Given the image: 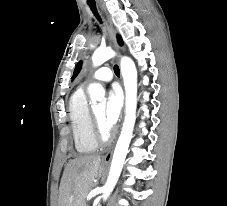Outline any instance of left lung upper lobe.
Masks as SVG:
<instances>
[{
    "instance_id": "1",
    "label": "left lung upper lobe",
    "mask_w": 227,
    "mask_h": 206,
    "mask_svg": "<svg viewBox=\"0 0 227 206\" xmlns=\"http://www.w3.org/2000/svg\"><path fill=\"white\" fill-rule=\"evenodd\" d=\"M117 39H118L119 44L122 45L123 42H122L121 37L118 36ZM81 65H82V62H81V61L78 62V64L76 65V68H75V70H74L72 79H74V78L77 76V74L79 73V71H80V69H81Z\"/></svg>"
}]
</instances>
